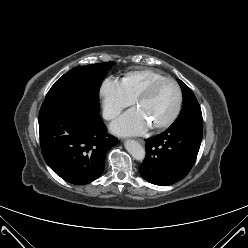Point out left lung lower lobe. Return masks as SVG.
I'll return each mask as SVG.
<instances>
[{
	"label": "left lung lower lobe",
	"mask_w": 248,
	"mask_h": 248,
	"mask_svg": "<svg viewBox=\"0 0 248 248\" xmlns=\"http://www.w3.org/2000/svg\"><path fill=\"white\" fill-rule=\"evenodd\" d=\"M203 134V123L170 126L146 140V158L139 167L148 182L168 186L184 178L195 163Z\"/></svg>",
	"instance_id": "0a47b994"
}]
</instances>
